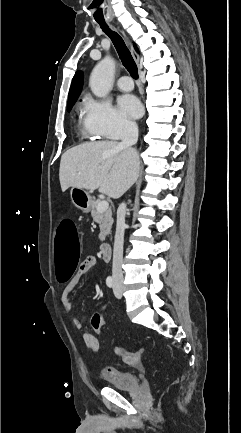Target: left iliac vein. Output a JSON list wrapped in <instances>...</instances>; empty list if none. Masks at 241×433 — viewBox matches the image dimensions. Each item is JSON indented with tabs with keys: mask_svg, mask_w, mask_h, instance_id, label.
Wrapping results in <instances>:
<instances>
[{
	"mask_svg": "<svg viewBox=\"0 0 241 433\" xmlns=\"http://www.w3.org/2000/svg\"><path fill=\"white\" fill-rule=\"evenodd\" d=\"M113 292L116 298L120 299L122 297V287L121 284L115 282L113 287Z\"/></svg>",
	"mask_w": 241,
	"mask_h": 433,
	"instance_id": "4c4485c4",
	"label": "left iliac vein"
}]
</instances>
